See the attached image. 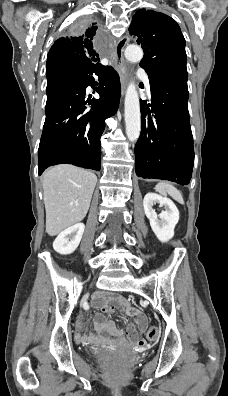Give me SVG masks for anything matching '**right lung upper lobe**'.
Segmentation results:
<instances>
[{"label": "right lung upper lobe", "mask_w": 228, "mask_h": 396, "mask_svg": "<svg viewBox=\"0 0 228 396\" xmlns=\"http://www.w3.org/2000/svg\"><path fill=\"white\" fill-rule=\"evenodd\" d=\"M97 27L92 26L80 36H70L56 40L51 47L46 63V72L56 70L72 71L79 66L103 67L94 48Z\"/></svg>", "instance_id": "1"}]
</instances>
